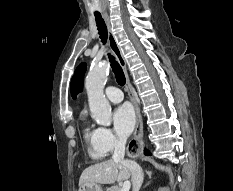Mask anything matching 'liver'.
I'll return each instance as SVG.
<instances>
[{
    "mask_svg": "<svg viewBox=\"0 0 233 191\" xmlns=\"http://www.w3.org/2000/svg\"><path fill=\"white\" fill-rule=\"evenodd\" d=\"M130 169L120 162L107 160L87 167L81 174L79 186L93 184H113L129 179Z\"/></svg>",
    "mask_w": 233,
    "mask_h": 191,
    "instance_id": "obj_1",
    "label": "liver"
}]
</instances>
